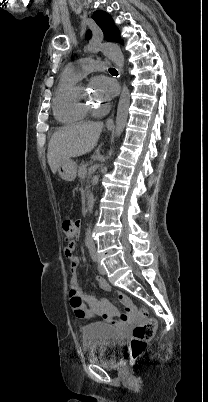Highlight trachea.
Returning <instances> with one entry per match:
<instances>
[{
  "label": "trachea",
  "mask_w": 208,
  "mask_h": 402,
  "mask_svg": "<svg viewBox=\"0 0 208 402\" xmlns=\"http://www.w3.org/2000/svg\"><path fill=\"white\" fill-rule=\"evenodd\" d=\"M109 72H116L115 68H110Z\"/></svg>",
  "instance_id": "3493384b"
}]
</instances>
